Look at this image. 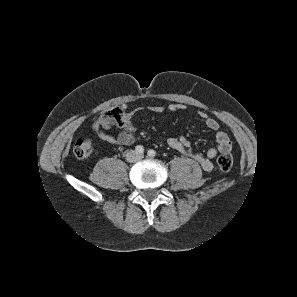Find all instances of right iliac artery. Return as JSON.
Returning <instances> with one entry per match:
<instances>
[{
    "label": "right iliac artery",
    "instance_id": "1",
    "mask_svg": "<svg viewBox=\"0 0 297 297\" xmlns=\"http://www.w3.org/2000/svg\"><path fill=\"white\" fill-rule=\"evenodd\" d=\"M135 150L137 153L142 154L144 152V147L141 145H138L136 146Z\"/></svg>",
    "mask_w": 297,
    "mask_h": 297
}]
</instances>
